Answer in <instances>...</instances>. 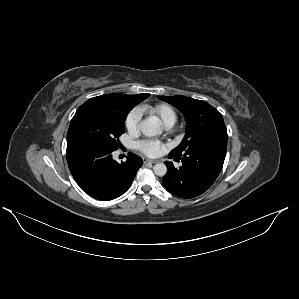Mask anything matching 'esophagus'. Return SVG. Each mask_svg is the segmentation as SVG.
<instances>
[{
    "mask_svg": "<svg viewBox=\"0 0 299 299\" xmlns=\"http://www.w3.org/2000/svg\"><path fill=\"white\" fill-rule=\"evenodd\" d=\"M144 164H147V163H150V164H156V163H158V161H156V160H150V159H144Z\"/></svg>",
    "mask_w": 299,
    "mask_h": 299,
    "instance_id": "34e87169",
    "label": "esophagus"
}]
</instances>
